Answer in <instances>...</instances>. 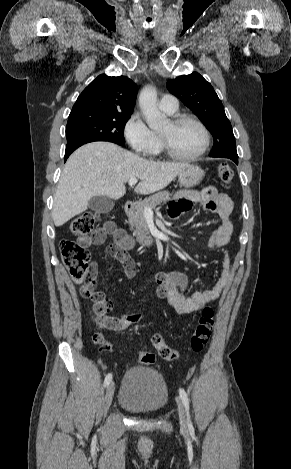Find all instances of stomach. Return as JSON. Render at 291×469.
Segmentation results:
<instances>
[{"instance_id": "1", "label": "stomach", "mask_w": 291, "mask_h": 469, "mask_svg": "<svg viewBox=\"0 0 291 469\" xmlns=\"http://www.w3.org/2000/svg\"><path fill=\"white\" fill-rule=\"evenodd\" d=\"M204 175L205 173L200 167L190 165L178 174V181L181 186L191 188L199 184Z\"/></svg>"}]
</instances>
